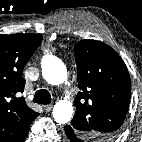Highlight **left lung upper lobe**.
<instances>
[{"label": "left lung upper lobe", "instance_id": "left-lung-upper-lobe-1", "mask_svg": "<svg viewBox=\"0 0 142 142\" xmlns=\"http://www.w3.org/2000/svg\"><path fill=\"white\" fill-rule=\"evenodd\" d=\"M80 92L74 103L73 130L83 140L112 139L128 111L131 82L121 57L108 45L81 40L74 47Z\"/></svg>", "mask_w": 142, "mask_h": 142}]
</instances>
